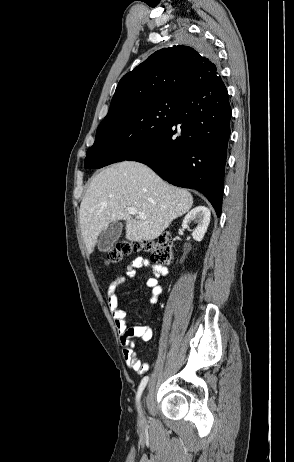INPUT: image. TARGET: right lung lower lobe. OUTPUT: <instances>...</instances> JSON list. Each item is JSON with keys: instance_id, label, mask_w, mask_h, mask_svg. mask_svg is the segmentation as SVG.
<instances>
[{"instance_id": "98d812e1", "label": "right lung lower lobe", "mask_w": 294, "mask_h": 462, "mask_svg": "<svg viewBox=\"0 0 294 462\" xmlns=\"http://www.w3.org/2000/svg\"><path fill=\"white\" fill-rule=\"evenodd\" d=\"M231 107L221 80L190 91L171 121L126 160L148 165L169 183L196 189L221 214ZM85 168L105 166L99 153L85 158Z\"/></svg>"}]
</instances>
